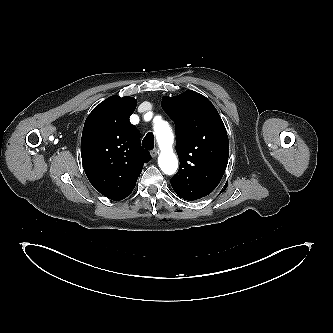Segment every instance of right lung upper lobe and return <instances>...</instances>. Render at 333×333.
<instances>
[{"label": "right lung upper lobe", "mask_w": 333, "mask_h": 333, "mask_svg": "<svg viewBox=\"0 0 333 333\" xmlns=\"http://www.w3.org/2000/svg\"><path fill=\"white\" fill-rule=\"evenodd\" d=\"M136 105L133 97L111 96L92 110L83 128L84 171L97 191L115 201L133 191L144 163L151 159L129 121Z\"/></svg>", "instance_id": "obj_1"}]
</instances>
